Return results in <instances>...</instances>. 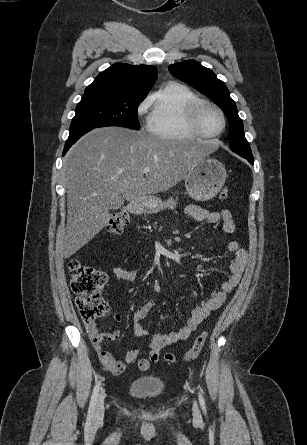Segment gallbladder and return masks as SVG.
Here are the masks:
<instances>
[{
    "instance_id": "gallbladder-1",
    "label": "gallbladder",
    "mask_w": 307,
    "mask_h": 445,
    "mask_svg": "<svg viewBox=\"0 0 307 445\" xmlns=\"http://www.w3.org/2000/svg\"><path fill=\"white\" fill-rule=\"evenodd\" d=\"M124 204V198L123 196L116 195L113 198L112 204H110L109 209L112 212L117 211L118 208H120Z\"/></svg>"
}]
</instances>
